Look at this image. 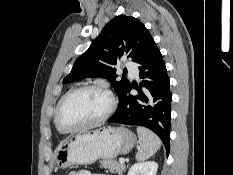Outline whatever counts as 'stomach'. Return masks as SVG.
<instances>
[{"instance_id": "0dacf381", "label": "stomach", "mask_w": 233, "mask_h": 175, "mask_svg": "<svg viewBox=\"0 0 233 175\" xmlns=\"http://www.w3.org/2000/svg\"><path fill=\"white\" fill-rule=\"evenodd\" d=\"M137 138L125 127L103 126L70 137L56 150L55 164L60 169L88 165L98 159H114L129 153Z\"/></svg>"}]
</instances>
